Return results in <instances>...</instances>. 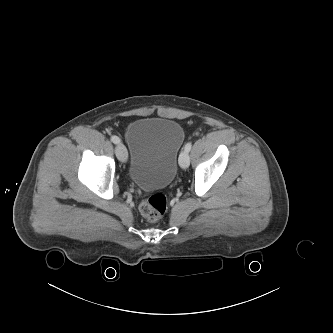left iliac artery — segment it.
I'll return each mask as SVG.
<instances>
[{"instance_id":"44dca946","label":"left iliac artery","mask_w":333,"mask_h":333,"mask_svg":"<svg viewBox=\"0 0 333 333\" xmlns=\"http://www.w3.org/2000/svg\"><path fill=\"white\" fill-rule=\"evenodd\" d=\"M191 147H192V143H191V142H188V143L185 145L184 149H185V151L189 152V151L191 150Z\"/></svg>"}]
</instances>
